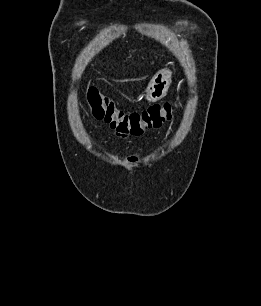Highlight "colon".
Returning a JSON list of instances; mask_svg holds the SVG:
<instances>
[{"mask_svg":"<svg viewBox=\"0 0 261 306\" xmlns=\"http://www.w3.org/2000/svg\"><path fill=\"white\" fill-rule=\"evenodd\" d=\"M86 100L91 118L107 123L121 137L138 136L149 129L160 128L173 117L176 108L175 103L166 102L151 105L139 112H125L96 88L87 91Z\"/></svg>","mask_w":261,"mask_h":306,"instance_id":"obj_1","label":"colon"}]
</instances>
